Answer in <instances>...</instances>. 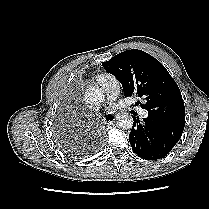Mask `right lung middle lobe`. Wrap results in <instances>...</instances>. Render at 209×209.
<instances>
[{
	"label": "right lung middle lobe",
	"instance_id": "1",
	"mask_svg": "<svg viewBox=\"0 0 209 209\" xmlns=\"http://www.w3.org/2000/svg\"><path fill=\"white\" fill-rule=\"evenodd\" d=\"M63 148H64L66 151H68L70 154H72V153L75 154V152H74V151L72 152V150H71V148H70L69 146H64ZM69 150H71V151H69Z\"/></svg>",
	"mask_w": 209,
	"mask_h": 209
}]
</instances>
